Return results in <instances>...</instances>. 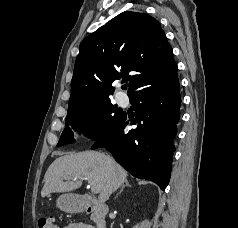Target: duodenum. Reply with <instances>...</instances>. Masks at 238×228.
Here are the masks:
<instances>
[{"instance_id":"410a0bca","label":"duodenum","mask_w":238,"mask_h":228,"mask_svg":"<svg viewBox=\"0 0 238 228\" xmlns=\"http://www.w3.org/2000/svg\"><path fill=\"white\" fill-rule=\"evenodd\" d=\"M74 208L91 214L96 228H105V217L108 213V207L105 204L92 197L82 195L76 199Z\"/></svg>"}]
</instances>
